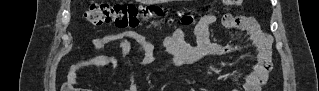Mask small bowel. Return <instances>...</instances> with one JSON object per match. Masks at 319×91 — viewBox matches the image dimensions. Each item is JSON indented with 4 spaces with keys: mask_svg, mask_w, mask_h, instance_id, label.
<instances>
[{
    "mask_svg": "<svg viewBox=\"0 0 319 91\" xmlns=\"http://www.w3.org/2000/svg\"><path fill=\"white\" fill-rule=\"evenodd\" d=\"M214 14L202 16L192 29L193 43L186 40V31L183 28L176 29L172 35L163 38L166 52L170 62L175 66H182L189 63L203 64L209 57H223L236 53L242 49L240 44H221L210 40V28L216 21ZM222 24L229 30H240L244 33L245 42L250 43L255 50L254 62L251 70L246 74L243 81L244 91H260L261 86L266 82L268 69L264 67L260 60L261 52L269 45V38L264 34L258 23L249 17L225 14ZM138 44L141 53V63L149 64L155 60V51L148 37L138 31L127 30L124 32L110 33L100 36L93 41L95 50L117 44L123 57L132 61V47L130 41ZM119 64L117 57L108 55H94L87 59L76 62L70 73V82L74 83L78 74L91 68H114ZM203 75L207 69L202 67ZM124 91H137V86L133 78L130 79ZM238 91V89H233Z\"/></svg>",
    "mask_w": 319,
    "mask_h": 91,
    "instance_id": "small-bowel-1",
    "label": "small bowel"
}]
</instances>
